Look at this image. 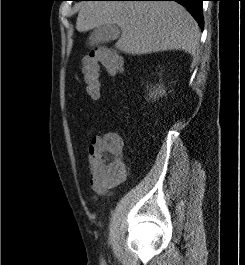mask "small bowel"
I'll use <instances>...</instances> for the list:
<instances>
[{
  "label": "small bowel",
  "mask_w": 245,
  "mask_h": 265,
  "mask_svg": "<svg viewBox=\"0 0 245 265\" xmlns=\"http://www.w3.org/2000/svg\"><path fill=\"white\" fill-rule=\"evenodd\" d=\"M109 134L105 136H94L87 148V154L90 162V185L92 190L98 197L110 196L112 190L118 186L123 177L116 180L107 179L93 166V156L99 147L103 144L104 140Z\"/></svg>",
  "instance_id": "small-bowel-1"
}]
</instances>
